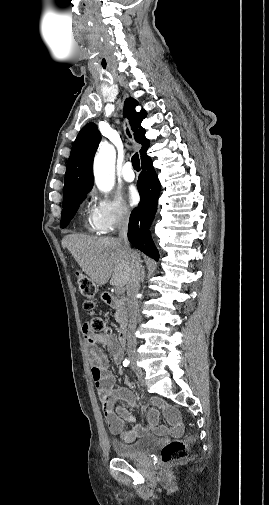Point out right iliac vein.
I'll list each match as a JSON object with an SVG mask.
<instances>
[{
	"instance_id": "right-iliac-vein-1",
	"label": "right iliac vein",
	"mask_w": 269,
	"mask_h": 505,
	"mask_svg": "<svg viewBox=\"0 0 269 505\" xmlns=\"http://www.w3.org/2000/svg\"><path fill=\"white\" fill-rule=\"evenodd\" d=\"M131 362H132V363H135V357H132V358H131ZM135 372H136V374L138 375V379L140 380L141 385H142V386H145V385H146V382H145V376L143 375L142 370H141L139 367H137V368H136V370H135Z\"/></svg>"
}]
</instances>
